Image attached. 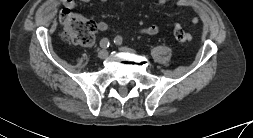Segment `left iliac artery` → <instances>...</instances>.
Returning <instances> with one entry per match:
<instances>
[{
	"label": "left iliac artery",
	"instance_id": "obj_1",
	"mask_svg": "<svg viewBox=\"0 0 253 138\" xmlns=\"http://www.w3.org/2000/svg\"><path fill=\"white\" fill-rule=\"evenodd\" d=\"M114 42L117 45H121L123 43V38L121 36H116L115 39H114Z\"/></svg>",
	"mask_w": 253,
	"mask_h": 138
}]
</instances>
